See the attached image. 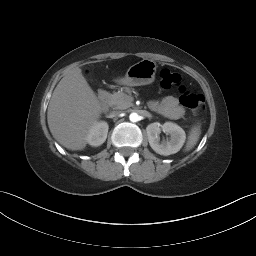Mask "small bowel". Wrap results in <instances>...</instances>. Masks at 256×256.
I'll return each mask as SVG.
<instances>
[{
	"mask_svg": "<svg viewBox=\"0 0 256 256\" xmlns=\"http://www.w3.org/2000/svg\"><path fill=\"white\" fill-rule=\"evenodd\" d=\"M150 106L155 112L171 120L180 119L185 114V110L178 104L176 97L172 95L161 101H153Z\"/></svg>",
	"mask_w": 256,
	"mask_h": 256,
	"instance_id": "c3829d8e",
	"label": "small bowel"
}]
</instances>
